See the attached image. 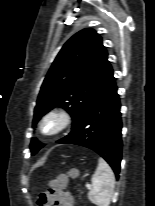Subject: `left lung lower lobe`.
Listing matches in <instances>:
<instances>
[{"label":"left lung lower lobe","mask_w":155,"mask_h":206,"mask_svg":"<svg viewBox=\"0 0 155 206\" xmlns=\"http://www.w3.org/2000/svg\"><path fill=\"white\" fill-rule=\"evenodd\" d=\"M120 101L115 78L91 102L72 131L57 141L90 148L101 155L119 177L121 140Z\"/></svg>","instance_id":"obj_1"}]
</instances>
